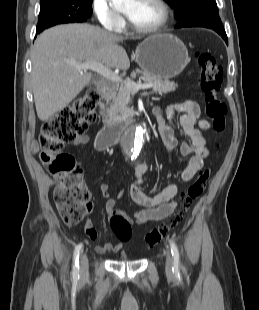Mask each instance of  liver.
I'll list each match as a JSON object with an SVG mask.
<instances>
[{"label":"liver","mask_w":259,"mask_h":310,"mask_svg":"<svg viewBox=\"0 0 259 310\" xmlns=\"http://www.w3.org/2000/svg\"><path fill=\"white\" fill-rule=\"evenodd\" d=\"M123 37L88 24H65L44 31L31 50L32 89L37 116L48 120L90 84L91 73L70 64L95 61L127 70L130 61L118 43Z\"/></svg>","instance_id":"1"}]
</instances>
